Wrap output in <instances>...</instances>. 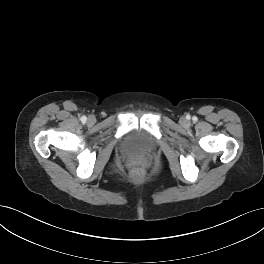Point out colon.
I'll list each match as a JSON object with an SVG mask.
<instances>
[{
	"label": "colon",
	"mask_w": 264,
	"mask_h": 264,
	"mask_svg": "<svg viewBox=\"0 0 264 264\" xmlns=\"http://www.w3.org/2000/svg\"><path fill=\"white\" fill-rule=\"evenodd\" d=\"M141 174V170L140 169H135L134 171H133V175L134 176H139Z\"/></svg>",
	"instance_id": "obj_1"
}]
</instances>
